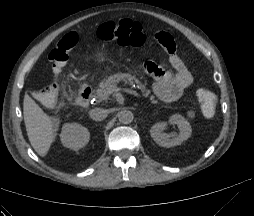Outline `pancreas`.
I'll use <instances>...</instances> for the list:
<instances>
[{
	"instance_id": "1",
	"label": "pancreas",
	"mask_w": 254,
	"mask_h": 216,
	"mask_svg": "<svg viewBox=\"0 0 254 216\" xmlns=\"http://www.w3.org/2000/svg\"><path fill=\"white\" fill-rule=\"evenodd\" d=\"M120 81H124L125 83L131 85L132 87L140 89L145 97L150 98L151 103L153 104L158 103V101L155 100V97L153 95H150V90L147 89L146 86L140 80H138L134 76H131L130 74H114L112 76H109L105 81H102L99 84L98 89L95 90V98L97 99V101L102 102L104 100H107L109 97L108 90L116 89L117 84Z\"/></svg>"
}]
</instances>
